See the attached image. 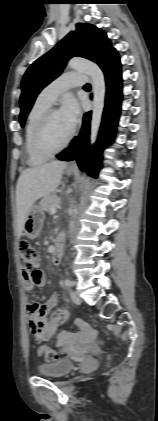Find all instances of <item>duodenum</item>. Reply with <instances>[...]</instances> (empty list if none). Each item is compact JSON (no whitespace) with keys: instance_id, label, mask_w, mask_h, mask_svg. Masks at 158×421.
<instances>
[{"instance_id":"410a0bca","label":"duodenum","mask_w":158,"mask_h":421,"mask_svg":"<svg viewBox=\"0 0 158 421\" xmlns=\"http://www.w3.org/2000/svg\"><path fill=\"white\" fill-rule=\"evenodd\" d=\"M63 252H64L63 238H60L52 254V259H53L54 264H59L61 262L62 257H63Z\"/></svg>"}]
</instances>
